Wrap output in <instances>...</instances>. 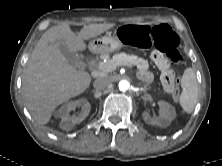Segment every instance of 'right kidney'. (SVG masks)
Wrapping results in <instances>:
<instances>
[{"label": "right kidney", "mask_w": 222, "mask_h": 166, "mask_svg": "<svg viewBox=\"0 0 222 166\" xmlns=\"http://www.w3.org/2000/svg\"><path fill=\"white\" fill-rule=\"evenodd\" d=\"M76 107H81V111L77 115H70ZM90 108V103L84 98L64 104L55 112V115L61 118L60 128L66 131L71 130L75 124L81 123L88 116Z\"/></svg>", "instance_id": "ca27d5eb"}]
</instances>
